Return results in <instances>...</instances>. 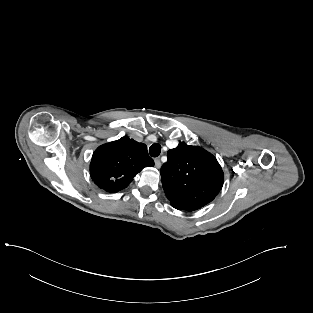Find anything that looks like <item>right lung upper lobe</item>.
I'll return each mask as SVG.
<instances>
[{
	"label": "right lung upper lobe",
	"instance_id": "right-lung-upper-lobe-1",
	"mask_svg": "<svg viewBox=\"0 0 313 313\" xmlns=\"http://www.w3.org/2000/svg\"><path fill=\"white\" fill-rule=\"evenodd\" d=\"M153 165L145 144L122 137L95 150L90 175L99 188L116 193L126 188L144 167Z\"/></svg>",
	"mask_w": 313,
	"mask_h": 313
}]
</instances>
